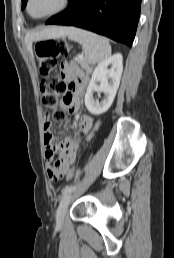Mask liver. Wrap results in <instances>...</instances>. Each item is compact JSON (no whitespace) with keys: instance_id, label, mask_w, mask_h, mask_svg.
Listing matches in <instances>:
<instances>
[{"instance_id":"liver-1","label":"liver","mask_w":174,"mask_h":258,"mask_svg":"<svg viewBox=\"0 0 174 258\" xmlns=\"http://www.w3.org/2000/svg\"><path fill=\"white\" fill-rule=\"evenodd\" d=\"M68 28L66 27H49L40 32L28 33L25 37V43L30 52H32V43L35 40L59 38L67 35Z\"/></svg>"}]
</instances>
